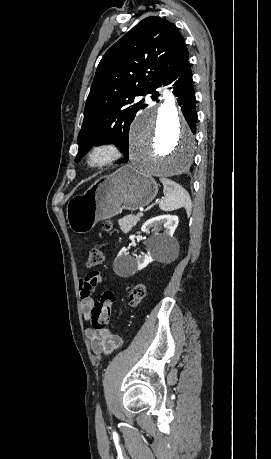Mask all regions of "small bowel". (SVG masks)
<instances>
[{
    "instance_id": "obj_1",
    "label": "small bowel",
    "mask_w": 271,
    "mask_h": 459,
    "mask_svg": "<svg viewBox=\"0 0 271 459\" xmlns=\"http://www.w3.org/2000/svg\"><path fill=\"white\" fill-rule=\"evenodd\" d=\"M106 278L98 271L88 273L80 280V300L81 311L86 320L90 319L91 311L94 307V299L92 297L95 288L104 283ZM86 335L89 339L92 351L96 355H110L118 349L122 343L121 338L113 334L109 329L88 328Z\"/></svg>"
}]
</instances>
